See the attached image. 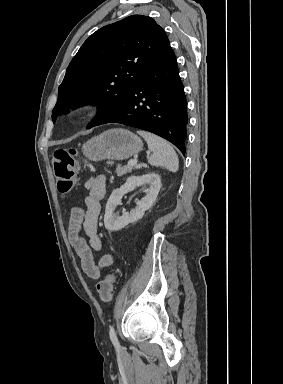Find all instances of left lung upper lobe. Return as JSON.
<instances>
[{
  "label": "left lung upper lobe",
  "instance_id": "left-lung-upper-lobe-1",
  "mask_svg": "<svg viewBox=\"0 0 283 384\" xmlns=\"http://www.w3.org/2000/svg\"><path fill=\"white\" fill-rule=\"evenodd\" d=\"M169 46L154 19L132 15L93 33L70 62L59 86L52 119L83 104L98 106L87 128L111 117L127 102L137 81Z\"/></svg>",
  "mask_w": 283,
  "mask_h": 384
}]
</instances>
